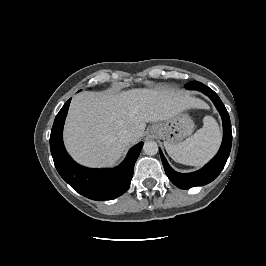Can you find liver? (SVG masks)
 Listing matches in <instances>:
<instances>
[{
  "label": "liver",
  "instance_id": "liver-1",
  "mask_svg": "<svg viewBox=\"0 0 266 266\" xmlns=\"http://www.w3.org/2000/svg\"><path fill=\"white\" fill-rule=\"evenodd\" d=\"M203 103L189 94L173 90L131 89L121 93L85 91L70 104L64 141L76 161L90 167L114 164L127 147L121 131L137 143L146 123L167 120Z\"/></svg>",
  "mask_w": 266,
  "mask_h": 266
}]
</instances>
